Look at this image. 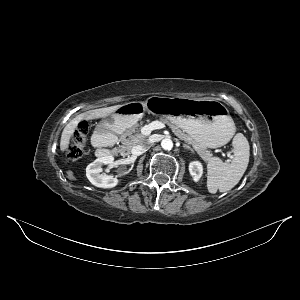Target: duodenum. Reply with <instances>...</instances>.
<instances>
[{"label": "duodenum", "mask_w": 300, "mask_h": 300, "mask_svg": "<svg viewBox=\"0 0 300 300\" xmlns=\"http://www.w3.org/2000/svg\"><path fill=\"white\" fill-rule=\"evenodd\" d=\"M93 143L97 147L99 157L104 158L115 154L114 138L105 129H99L93 134Z\"/></svg>", "instance_id": "duodenum-1"}]
</instances>
